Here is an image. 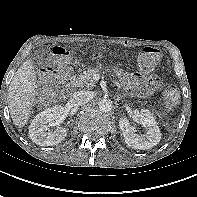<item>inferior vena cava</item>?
Listing matches in <instances>:
<instances>
[{"instance_id": "obj_1", "label": "inferior vena cava", "mask_w": 197, "mask_h": 197, "mask_svg": "<svg viewBox=\"0 0 197 197\" xmlns=\"http://www.w3.org/2000/svg\"><path fill=\"white\" fill-rule=\"evenodd\" d=\"M90 100V94L87 91H77L73 93L70 100L71 104L74 106H82Z\"/></svg>"}]
</instances>
